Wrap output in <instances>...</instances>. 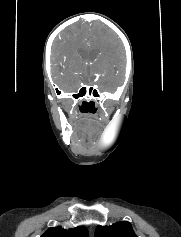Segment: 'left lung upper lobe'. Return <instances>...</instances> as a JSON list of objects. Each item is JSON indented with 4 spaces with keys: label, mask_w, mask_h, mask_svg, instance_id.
<instances>
[{
    "label": "left lung upper lobe",
    "mask_w": 181,
    "mask_h": 237,
    "mask_svg": "<svg viewBox=\"0 0 181 237\" xmlns=\"http://www.w3.org/2000/svg\"><path fill=\"white\" fill-rule=\"evenodd\" d=\"M95 237H137V235L129 222L122 221L111 226H97Z\"/></svg>",
    "instance_id": "obj_1"
}]
</instances>
